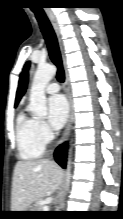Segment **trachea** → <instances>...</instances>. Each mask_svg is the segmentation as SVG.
Segmentation results:
<instances>
[{
    "instance_id": "3493384b",
    "label": "trachea",
    "mask_w": 123,
    "mask_h": 219,
    "mask_svg": "<svg viewBox=\"0 0 123 219\" xmlns=\"http://www.w3.org/2000/svg\"><path fill=\"white\" fill-rule=\"evenodd\" d=\"M34 13L45 38L50 58L58 68L57 80L62 83L64 82L65 75L55 32L44 11H35Z\"/></svg>"
}]
</instances>
